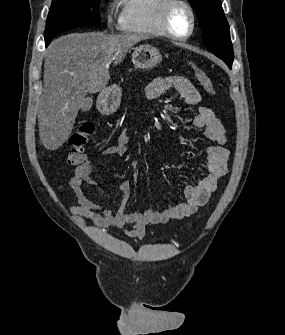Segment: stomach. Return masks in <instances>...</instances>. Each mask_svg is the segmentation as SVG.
<instances>
[{
	"label": "stomach",
	"instance_id": "obj_1",
	"mask_svg": "<svg viewBox=\"0 0 285 335\" xmlns=\"http://www.w3.org/2000/svg\"><path fill=\"white\" fill-rule=\"evenodd\" d=\"M162 56L154 46H139L134 48L132 54V64L135 68L140 70H147V68H155L158 64H161ZM121 90L118 86H110L103 90L98 98V108H103L104 112H115L120 104Z\"/></svg>",
	"mask_w": 285,
	"mask_h": 335
}]
</instances>
